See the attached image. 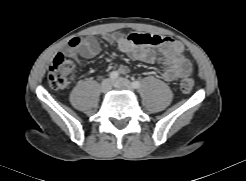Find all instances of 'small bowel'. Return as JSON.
Instances as JSON below:
<instances>
[{"mask_svg": "<svg viewBox=\"0 0 246 181\" xmlns=\"http://www.w3.org/2000/svg\"><path fill=\"white\" fill-rule=\"evenodd\" d=\"M142 35L149 34L131 33L123 35L111 33L104 35L103 38L110 44H116L122 52L134 59L148 63H161V77L167 82H173L180 76L190 73L191 64L184 56V46L179 40L161 37L162 41L158 45H148L139 43L138 39ZM100 51L99 41L92 37L81 40L79 44L72 45L67 50L69 55L77 54L85 59L94 58ZM117 71L120 74H126L129 69L125 65H120Z\"/></svg>", "mask_w": 246, "mask_h": 181, "instance_id": "c3829d8e", "label": "small bowel"}]
</instances>
